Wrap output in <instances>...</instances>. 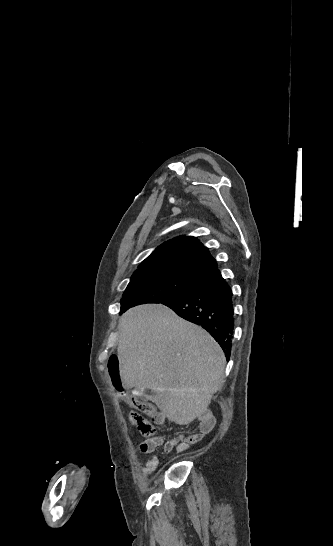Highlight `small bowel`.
<instances>
[{"label": "small bowel", "instance_id": "small-bowel-1", "mask_svg": "<svg viewBox=\"0 0 333 546\" xmlns=\"http://www.w3.org/2000/svg\"><path fill=\"white\" fill-rule=\"evenodd\" d=\"M151 417L156 423H162L164 421V416L157 412H155V414ZM200 421V431L192 433L189 437L185 438L183 436H179L168 441H165V438L163 436L146 439L139 446L140 452L143 454H150L153 453L160 446H163L164 454L170 453L174 448H176L178 452L185 451L190 444L198 443L203 438L204 433L211 430L214 425V420L212 416L202 415L200 417ZM159 460V455H154L153 457L149 458L145 462V466L143 467L142 472L145 475L153 473L159 464Z\"/></svg>", "mask_w": 333, "mask_h": 546}]
</instances>
